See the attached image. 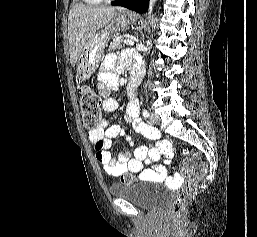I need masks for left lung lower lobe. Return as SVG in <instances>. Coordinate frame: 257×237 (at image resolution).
<instances>
[{
  "instance_id": "obj_1",
  "label": "left lung lower lobe",
  "mask_w": 257,
  "mask_h": 237,
  "mask_svg": "<svg viewBox=\"0 0 257 237\" xmlns=\"http://www.w3.org/2000/svg\"><path fill=\"white\" fill-rule=\"evenodd\" d=\"M111 4L114 6H123L139 13H145L148 8L149 0H117Z\"/></svg>"
}]
</instances>
